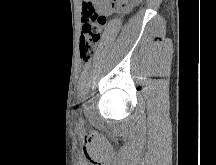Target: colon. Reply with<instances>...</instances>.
Masks as SVG:
<instances>
[{
  "mask_svg": "<svg viewBox=\"0 0 216 165\" xmlns=\"http://www.w3.org/2000/svg\"><path fill=\"white\" fill-rule=\"evenodd\" d=\"M116 0H112L114 4ZM83 26L80 38V55L83 60H88L94 52L95 46L101 39V33L106 25L105 15L98 14L96 10L83 9Z\"/></svg>",
  "mask_w": 216,
  "mask_h": 165,
  "instance_id": "5ec220e1",
  "label": "colon"
}]
</instances>
